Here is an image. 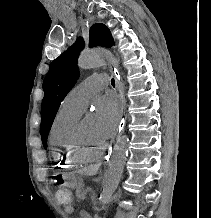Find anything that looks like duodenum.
Wrapping results in <instances>:
<instances>
[{"label": "duodenum", "mask_w": 211, "mask_h": 218, "mask_svg": "<svg viewBox=\"0 0 211 218\" xmlns=\"http://www.w3.org/2000/svg\"><path fill=\"white\" fill-rule=\"evenodd\" d=\"M80 217L81 218H92V215L89 211L87 210H81L80 211Z\"/></svg>", "instance_id": "1"}]
</instances>
